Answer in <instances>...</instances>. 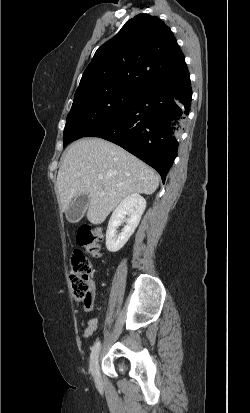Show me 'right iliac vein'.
Returning <instances> with one entry per match:
<instances>
[{
	"instance_id": "63e3f726",
	"label": "right iliac vein",
	"mask_w": 250,
	"mask_h": 413,
	"mask_svg": "<svg viewBox=\"0 0 250 413\" xmlns=\"http://www.w3.org/2000/svg\"><path fill=\"white\" fill-rule=\"evenodd\" d=\"M93 374L96 382L100 381V369H99V354L97 353L93 362Z\"/></svg>"
}]
</instances>
